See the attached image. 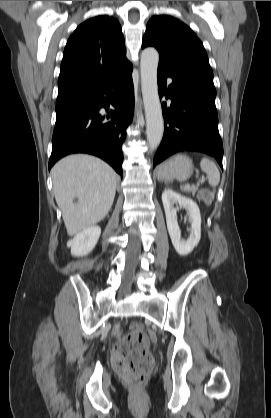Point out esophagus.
<instances>
[{"label":"esophagus","instance_id":"obj_1","mask_svg":"<svg viewBox=\"0 0 271 418\" xmlns=\"http://www.w3.org/2000/svg\"><path fill=\"white\" fill-rule=\"evenodd\" d=\"M140 110H141V102H139V103L136 105V115H138V114H139Z\"/></svg>","mask_w":271,"mask_h":418}]
</instances>
